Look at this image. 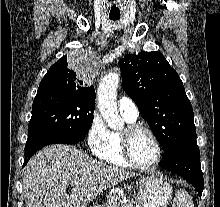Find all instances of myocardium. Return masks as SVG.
I'll use <instances>...</instances> for the list:
<instances>
[{"label":"myocardium","instance_id":"obj_1","mask_svg":"<svg viewBox=\"0 0 220 207\" xmlns=\"http://www.w3.org/2000/svg\"><path fill=\"white\" fill-rule=\"evenodd\" d=\"M138 131L147 132L151 136V138L153 139L156 145L157 158L151 164H140L132 156L131 138L133 134H135ZM120 146H121V152H122L123 157L132 167H135L141 170H149V169L156 167L162 160L163 150H162V145L160 143V140L157 137L156 133L148 126L137 124V123L128 124L125 127V129L120 133Z\"/></svg>","mask_w":220,"mask_h":207}]
</instances>
